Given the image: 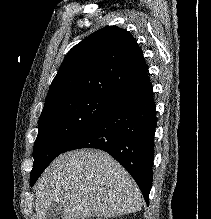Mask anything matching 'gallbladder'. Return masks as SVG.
<instances>
[{
	"label": "gallbladder",
	"instance_id": "1",
	"mask_svg": "<svg viewBox=\"0 0 211 219\" xmlns=\"http://www.w3.org/2000/svg\"><path fill=\"white\" fill-rule=\"evenodd\" d=\"M62 212H63V204L54 203L47 210L45 219H62Z\"/></svg>",
	"mask_w": 211,
	"mask_h": 219
}]
</instances>
